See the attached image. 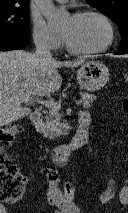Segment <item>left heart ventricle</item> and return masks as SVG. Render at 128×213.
I'll list each match as a JSON object with an SVG mask.
<instances>
[{
    "label": "left heart ventricle",
    "instance_id": "obj_1",
    "mask_svg": "<svg viewBox=\"0 0 128 213\" xmlns=\"http://www.w3.org/2000/svg\"><path fill=\"white\" fill-rule=\"evenodd\" d=\"M61 31L75 47L85 50L102 47L109 35L104 21L96 16L70 17Z\"/></svg>",
    "mask_w": 128,
    "mask_h": 213
}]
</instances>
